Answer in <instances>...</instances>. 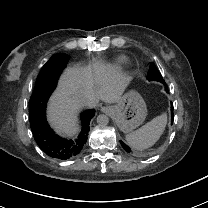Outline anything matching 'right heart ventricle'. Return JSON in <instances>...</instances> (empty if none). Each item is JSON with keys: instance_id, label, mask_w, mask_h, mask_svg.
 <instances>
[{"instance_id": "1", "label": "right heart ventricle", "mask_w": 208, "mask_h": 208, "mask_svg": "<svg viewBox=\"0 0 208 208\" xmlns=\"http://www.w3.org/2000/svg\"><path fill=\"white\" fill-rule=\"evenodd\" d=\"M130 62V58L127 55H119L115 58L114 62L111 65V68H121L127 65Z\"/></svg>"}]
</instances>
